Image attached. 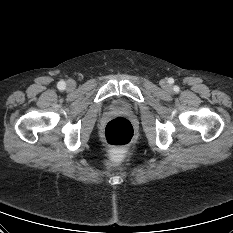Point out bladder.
I'll return each mask as SVG.
<instances>
[{"mask_svg":"<svg viewBox=\"0 0 233 233\" xmlns=\"http://www.w3.org/2000/svg\"><path fill=\"white\" fill-rule=\"evenodd\" d=\"M114 106H115L116 108H123V107H124V104H123L122 102H116V103L114 104Z\"/></svg>","mask_w":233,"mask_h":233,"instance_id":"obj_1","label":"bladder"}]
</instances>
